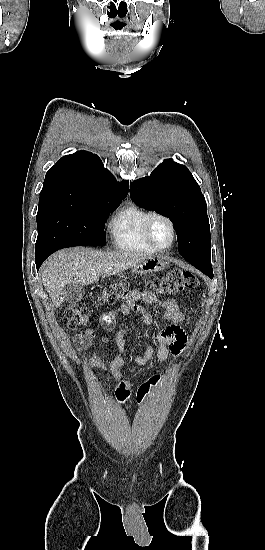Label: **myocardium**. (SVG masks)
<instances>
[{
  "mask_svg": "<svg viewBox=\"0 0 265 550\" xmlns=\"http://www.w3.org/2000/svg\"><path fill=\"white\" fill-rule=\"evenodd\" d=\"M157 219H161L163 221H165L169 228H170V231H171V235H172V238H171V242L168 246L166 247H161L159 246L153 236H152V225L153 223L157 220ZM144 236L147 240V242L149 243V245L155 249L156 251H167L169 249H171L176 241V238H177V232H176V228H175V224L174 222L166 215L162 214V213H159V212H153L151 213L148 218L146 219L145 221V224H144Z\"/></svg>",
  "mask_w": 265,
  "mask_h": 550,
  "instance_id": "myocardium-1",
  "label": "myocardium"
}]
</instances>
